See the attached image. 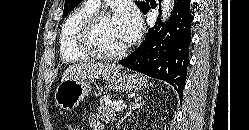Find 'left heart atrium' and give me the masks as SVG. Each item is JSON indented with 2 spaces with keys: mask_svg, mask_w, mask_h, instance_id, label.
I'll return each instance as SVG.
<instances>
[{
  "mask_svg": "<svg viewBox=\"0 0 249 130\" xmlns=\"http://www.w3.org/2000/svg\"><path fill=\"white\" fill-rule=\"evenodd\" d=\"M115 16L125 32L128 43L133 42L141 30V18L137 9L125 3L118 8Z\"/></svg>",
  "mask_w": 249,
  "mask_h": 130,
  "instance_id": "1",
  "label": "left heart atrium"
}]
</instances>
